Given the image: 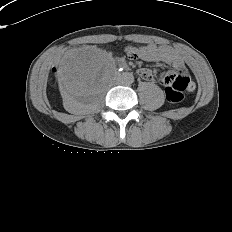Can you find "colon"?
Instances as JSON below:
<instances>
[{
    "instance_id": "5ec220e1",
    "label": "colon",
    "mask_w": 232,
    "mask_h": 232,
    "mask_svg": "<svg viewBox=\"0 0 232 232\" xmlns=\"http://www.w3.org/2000/svg\"><path fill=\"white\" fill-rule=\"evenodd\" d=\"M56 70L55 68L53 69ZM166 86V97L172 103L180 102L183 99V92L188 89L190 82L188 76L167 75L163 79Z\"/></svg>"
}]
</instances>
